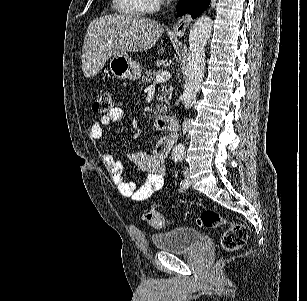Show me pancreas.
<instances>
[{"mask_svg":"<svg viewBox=\"0 0 307 301\" xmlns=\"http://www.w3.org/2000/svg\"><path fill=\"white\" fill-rule=\"evenodd\" d=\"M159 72V70H146L145 74L141 76V84H152L154 82V78ZM168 84H164V82H160L161 92H158L156 96V106L152 108L153 112H161V114H167V110H170V100L168 98L169 90L167 88Z\"/></svg>","mask_w":307,"mask_h":301,"instance_id":"obj_1","label":"pancreas"}]
</instances>
